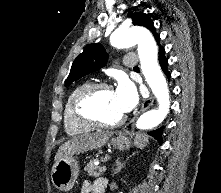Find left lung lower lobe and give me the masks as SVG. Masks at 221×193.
I'll use <instances>...</instances> for the list:
<instances>
[{
	"label": "left lung lower lobe",
	"instance_id": "left-lung-lower-lobe-1",
	"mask_svg": "<svg viewBox=\"0 0 221 193\" xmlns=\"http://www.w3.org/2000/svg\"><path fill=\"white\" fill-rule=\"evenodd\" d=\"M158 46H159V63H160V66H161L163 72L165 73V75L168 78H170L171 74L169 73V71L167 69L168 60L166 59V57L164 55V52H165L164 47H162L160 44H158ZM162 130H163V127L149 132V135L156 138L160 144H162Z\"/></svg>",
	"mask_w": 221,
	"mask_h": 193
}]
</instances>
